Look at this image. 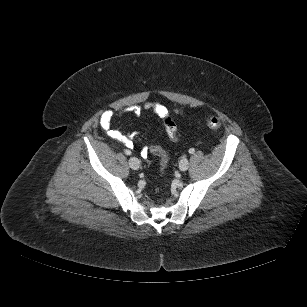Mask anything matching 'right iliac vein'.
<instances>
[{
	"instance_id": "1",
	"label": "right iliac vein",
	"mask_w": 307,
	"mask_h": 307,
	"mask_svg": "<svg viewBox=\"0 0 307 307\" xmlns=\"http://www.w3.org/2000/svg\"><path fill=\"white\" fill-rule=\"evenodd\" d=\"M129 166L133 169V170H138L140 168V161L138 158L136 157H131L129 159Z\"/></svg>"
}]
</instances>
